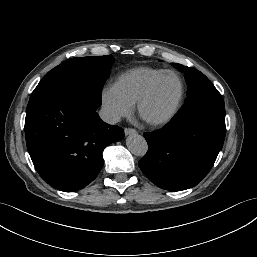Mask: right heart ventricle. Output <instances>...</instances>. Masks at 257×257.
Here are the masks:
<instances>
[{
	"instance_id": "right-heart-ventricle-1",
	"label": "right heart ventricle",
	"mask_w": 257,
	"mask_h": 257,
	"mask_svg": "<svg viewBox=\"0 0 257 257\" xmlns=\"http://www.w3.org/2000/svg\"><path fill=\"white\" fill-rule=\"evenodd\" d=\"M163 71L165 69L153 67L132 68L121 73L113 86L125 100L135 105L150 81Z\"/></svg>"
}]
</instances>
